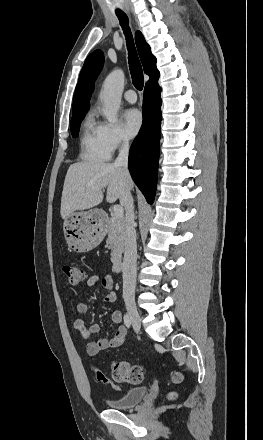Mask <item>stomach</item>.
<instances>
[{
  "instance_id": "obj_1",
  "label": "stomach",
  "mask_w": 263,
  "mask_h": 440,
  "mask_svg": "<svg viewBox=\"0 0 263 440\" xmlns=\"http://www.w3.org/2000/svg\"><path fill=\"white\" fill-rule=\"evenodd\" d=\"M98 210L73 212L64 220V235L68 246L79 253L88 252L103 240L106 228L99 220Z\"/></svg>"
}]
</instances>
